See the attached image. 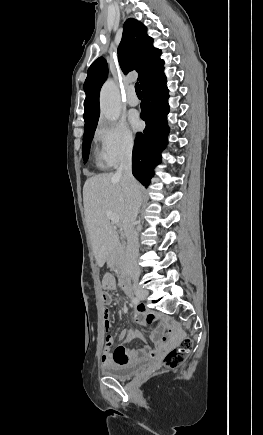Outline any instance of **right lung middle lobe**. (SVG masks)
I'll return each mask as SVG.
<instances>
[{
  "instance_id": "1",
  "label": "right lung middle lobe",
  "mask_w": 263,
  "mask_h": 435,
  "mask_svg": "<svg viewBox=\"0 0 263 435\" xmlns=\"http://www.w3.org/2000/svg\"><path fill=\"white\" fill-rule=\"evenodd\" d=\"M96 126L84 130L83 135V160L86 162L89 154L90 143L93 139Z\"/></svg>"
}]
</instances>
